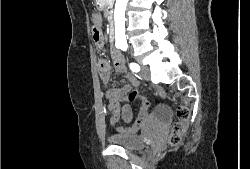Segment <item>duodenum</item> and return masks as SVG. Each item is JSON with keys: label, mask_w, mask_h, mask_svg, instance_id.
I'll return each mask as SVG.
<instances>
[{"label": "duodenum", "mask_w": 250, "mask_h": 169, "mask_svg": "<svg viewBox=\"0 0 250 169\" xmlns=\"http://www.w3.org/2000/svg\"><path fill=\"white\" fill-rule=\"evenodd\" d=\"M108 36L111 42L115 41V27L113 22H111V25L108 28Z\"/></svg>", "instance_id": "obj_1"}]
</instances>
